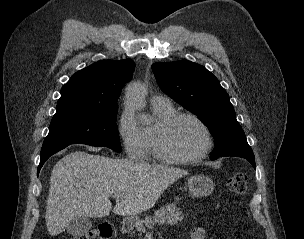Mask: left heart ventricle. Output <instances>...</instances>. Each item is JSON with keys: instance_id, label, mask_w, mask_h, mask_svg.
<instances>
[{"instance_id": "b2bd125f", "label": "left heart ventricle", "mask_w": 304, "mask_h": 239, "mask_svg": "<svg viewBox=\"0 0 304 239\" xmlns=\"http://www.w3.org/2000/svg\"><path fill=\"white\" fill-rule=\"evenodd\" d=\"M205 145L200 126L191 119H180L170 130L165 148L172 156L189 157L199 153Z\"/></svg>"}]
</instances>
